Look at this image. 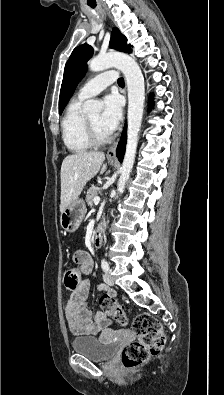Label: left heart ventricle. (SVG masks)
<instances>
[{
  "mask_svg": "<svg viewBox=\"0 0 224 395\" xmlns=\"http://www.w3.org/2000/svg\"><path fill=\"white\" fill-rule=\"evenodd\" d=\"M100 116H101L100 112H96V113L89 115L88 117H89L90 121L92 122V124L94 125L98 134L101 136H106L109 133L102 128V126L100 124Z\"/></svg>",
  "mask_w": 224,
  "mask_h": 395,
  "instance_id": "obj_1",
  "label": "left heart ventricle"
}]
</instances>
